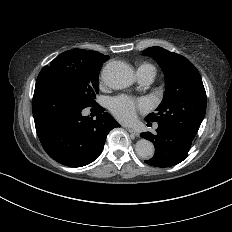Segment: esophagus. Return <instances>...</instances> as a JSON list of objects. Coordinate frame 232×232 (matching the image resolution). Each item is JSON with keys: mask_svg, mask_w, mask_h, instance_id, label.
Returning <instances> with one entry per match:
<instances>
[{"mask_svg": "<svg viewBox=\"0 0 232 232\" xmlns=\"http://www.w3.org/2000/svg\"><path fill=\"white\" fill-rule=\"evenodd\" d=\"M131 134L135 135V136H138L139 133L137 131H135L134 129H131V128H126Z\"/></svg>", "mask_w": 232, "mask_h": 232, "instance_id": "34e87169", "label": "esophagus"}]
</instances>
